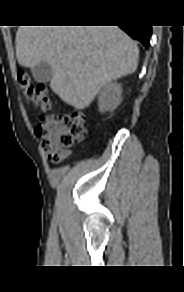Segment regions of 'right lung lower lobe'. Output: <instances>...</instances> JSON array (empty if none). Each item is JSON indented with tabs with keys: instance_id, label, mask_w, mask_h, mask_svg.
<instances>
[{
	"instance_id": "98d812e1",
	"label": "right lung lower lobe",
	"mask_w": 184,
	"mask_h": 292,
	"mask_svg": "<svg viewBox=\"0 0 184 292\" xmlns=\"http://www.w3.org/2000/svg\"><path fill=\"white\" fill-rule=\"evenodd\" d=\"M133 39L140 41L146 48L149 46L151 26L126 25L120 26Z\"/></svg>"
}]
</instances>
